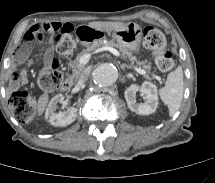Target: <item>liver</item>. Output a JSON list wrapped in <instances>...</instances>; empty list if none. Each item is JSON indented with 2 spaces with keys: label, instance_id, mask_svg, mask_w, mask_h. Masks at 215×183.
Returning <instances> with one entry per match:
<instances>
[{
  "label": "liver",
  "instance_id": "1",
  "mask_svg": "<svg viewBox=\"0 0 215 183\" xmlns=\"http://www.w3.org/2000/svg\"><path fill=\"white\" fill-rule=\"evenodd\" d=\"M127 25L123 22H105V21H94L87 24L90 28L101 31V32H112L114 30L122 29ZM49 100L48 94H42L37 102L38 115H42Z\"/></svg>",
  "mask_w": 215,
  "mask_h": 183
}]
</instances>
